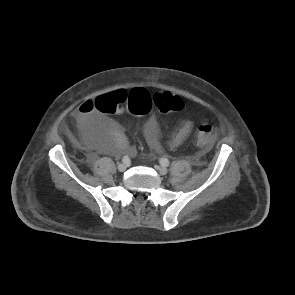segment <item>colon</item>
<instances>
[{
	"instance_id": "1",
	"label": "colon",
	"mask_w": 295,
	"mask_h": 295,
	"mask_svg": "<svg viewBox=\"0 0 295 295\" xmlns=\"http://www.w3.org/2000/svg\"><path fill=\"white\" fill-rule=\"evenodd\" d=\"M184 105L185 101L179 95L167 92L151 95L142 89H135L131 92L119 90L102 95L94 101L95 108L103 113H115L127 108L135 115H146L153 109L161 112L179 111ZM215 135L216 128L210 123H204L198 128L196 142L200 146H209Z\"/></svg>"
}]
</instances>
